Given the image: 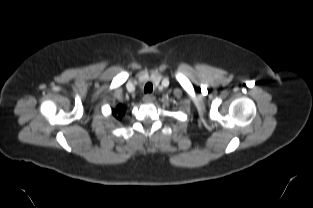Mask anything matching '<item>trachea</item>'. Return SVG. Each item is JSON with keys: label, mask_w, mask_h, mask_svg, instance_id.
Wrapping results in <instances>:
<instances>
[{"label": "trachea", "mask_w": 313, "mask_h": 208, "mask_svg": "<svg viewBox=\"0 0 313 208\" xmlns=\"http://www.w3.org/2000/svg\"><path fill=\"white\" fill-rule=\"evenodd\" d=\"M153 90V85L151 83H147L144 87V92L145 93H151Z\"/></svg>", "instance_id": "trachea-1"}]
</instances>
